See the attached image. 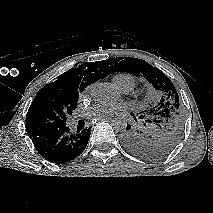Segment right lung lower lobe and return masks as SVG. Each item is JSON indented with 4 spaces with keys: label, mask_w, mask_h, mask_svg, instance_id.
<instances>
[{
    "label": "right lung lower lobe",
    "mask_w": 213,
    "mask_h": 213,
    "mask_svg": "<svg viewBox=\"0 0 213 213\" xmlns=\"http://www.w3.org/2000/svg\"><path fill=\"white\" fill-rule=\"evenodd\" d=\"M90 130L85 129L76 134L68 127L55 129L31 137L38 153L51 163L64 164L79 156L87 146Z\"/></svg>",
    "instance_id": "98d812e1"
}]
</instances>
